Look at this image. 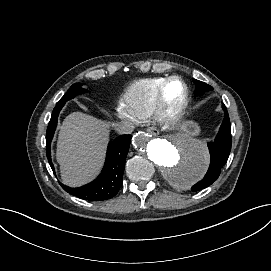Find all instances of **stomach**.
<instances>
[{"mask_svg":"<svg viewBox=\"0 0 271 271\" xmlns=\"http://www.w3.org/2000/svg\"><path fill=\"white\" fill-rule=\"evenodd\" d=\"M182 129L185 130V131H188V132H190L192 134L197 133V131H198V127H197L196 124L188 123V122H186V123H184L182 125Z\"/></svg>","mask_w":271,"mask_h":271,"instance_id":"stomach-1","label":"stomach"}]
</instances>
